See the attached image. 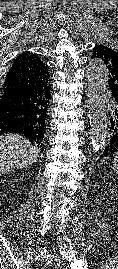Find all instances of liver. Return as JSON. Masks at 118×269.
<instances>
[{
  "label": "liver",
  "instance_id": "obj_1",
  "mask_svg": "<svg viewBox=\"0 0 118 269\" xmlns=\"http://www.w3.org/2000/svg\"><path fill=\"white\" fill-rule=\"evenodd\" d=\"M37 150L18 134L0 136V174L25 168L36 162Z\"/></svg>",
  "mask_w": 118,
  "mask_h": 269
}]
</instances>
